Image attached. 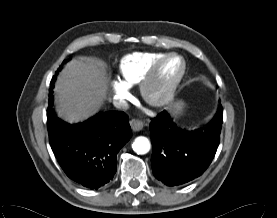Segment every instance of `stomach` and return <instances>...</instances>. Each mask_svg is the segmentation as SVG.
Returning a JSON list of instances; mask_svg holds the SVG:
<instances>
[{"mask_svg": "<svg viewBox=\"0 0 277 218\" xmlns=\"http://www.w3.org/2000/svg\"><path fill=\"white\" fill-rule=\"evenodd\" d=\"M183 107H184L183 102L177 101V102H175L174 104H172V105L170 106L169 110L171 111V113H172L173 115H178V114L181 113Z\"/></svg>", "mask_w": 277, "mask_h": 218, "instance_id": "obj_1", "label": "stomach"}]
</instances>
